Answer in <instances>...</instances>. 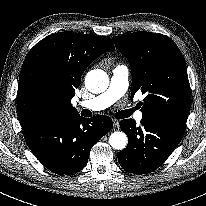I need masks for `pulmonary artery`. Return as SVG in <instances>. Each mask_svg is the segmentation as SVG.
Masks as SVG:
<instances>
[{
	"instance_id": "obj_1",
	"label": "pulmonary artery",
	"mask_w": 206,
	"mask_h": 206,
	"mask_svg": "<svg viewBox=\"0 0 206 206\" xmlns=\"http://www.w3.org/2000/svg\"><path fill=\"white\" fill-rule=\"evenodd\" d=\"M128 86L129 70L124 65H118L112 71L108 89L96 97L81 101L79 106L92 111L104 110L120 99L126 93ZM134 118L137 121H141L143 119L142 112H135Z\"/></svg>"
}]
</instances>
